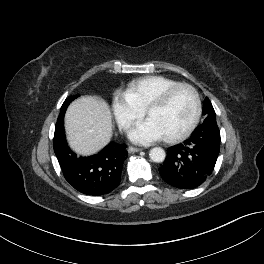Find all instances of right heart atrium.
I'll list each match as a JSON object with an SVG mask.
<instances>
[{
	"mask_svg": "<svg viewBox=\"0 0 264 264\" xmlns=\"http://www.w3.org/2000/svg\"><path fill=\"white\" fill-rule=\"evenodd\" d=\"M114 118L119 128L126 130L137 119L141 118L144 110L133 103L126 93H116L112 101Z\"/></svg>",
	"mask_w": 264,
	"mask_h": 264,
	"instance_id": "obj_1",
	"label": "right heart atrium"
}]
</instances>
